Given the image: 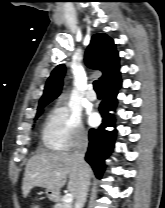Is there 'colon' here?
<instances>
[{
    "label": "colon",
    "mask_w": 165,
    "mask_h": 208,
    "mask_svg": "<svg viewBox=\"0 0 165 208\" xmlns=\"http://www.w3.org/2000/svg\"><path fill=\"white\" fill-rule=\"evenodd\" d=\"M30 208H41V206L37 202H33L31 203Z\"/></svg>",
    "instance_id": "obj_1"
}]
</instances>
